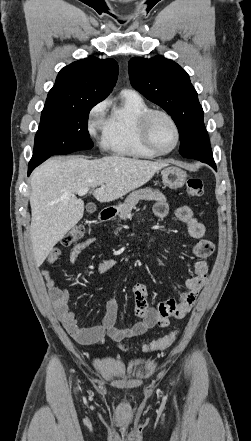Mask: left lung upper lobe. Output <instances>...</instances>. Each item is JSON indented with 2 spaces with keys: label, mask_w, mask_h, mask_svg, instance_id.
Returning a JSON list of instances; mask_svg holds the SVG:
<instances>
[{
  "label": "left lung upper lobe",
  "mask_w": 251,
  "mask_h": 441,
  "mask_svg": "<svg viewBox=\"0 0 251 441\" xmlns=\"http://www.w3.org/2000/svg\"><path fill=\"white\" fill-rule=\"evenodd\" d=\"M128 69L131 85L172 116L180 135V154L188 157L194 153L190 140L205 126L198 94L186 71L160 55L151 59L132 58Z\"/></svg>",
  "instance_id": "left-lung-upper-lobe-1"
}]
</instances>
